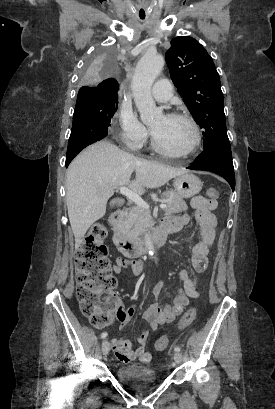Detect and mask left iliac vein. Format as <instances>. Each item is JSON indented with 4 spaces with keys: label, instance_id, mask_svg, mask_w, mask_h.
Segmentation results:
<instances>
[{
    "label": "left iliac vein",
    "instance_id": "1",
    "mask_svg": "<svg viewBox=\"0 0 275 409\" xmlns=\"http://www.w3.org/2000/svg\"><path fill=\"white\" fill-rule=\"evenodd\" d=\"M174 360H175L176 363H181V361H182V354H181L180 351H179V352H176V353L174 354Z\"/></svg>",
    "mask_w": 275,
    "mask_h": 409
}]
</instances>
